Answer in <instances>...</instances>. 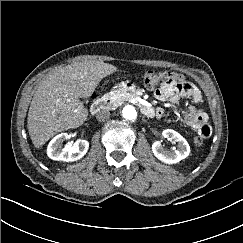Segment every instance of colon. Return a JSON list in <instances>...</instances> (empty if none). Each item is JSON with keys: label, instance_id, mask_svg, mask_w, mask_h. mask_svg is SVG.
<instances>
[{"label": "colon", "instance_id": "obj_1", "mask_svg": "<svg viewBox=\"0 0 243 243\" xmlns=\"http://www.w3.org/2000/svg\"><path fill=\"white\" fill-rule=\"evenodd\" d=\"M166 78V73L156 70H149L144 75V85L148 89H154ZM205 138L197 135L194 138V143L198 146L203 145Z\"/></svg>", "mask_w": 243, "mask_h": 243}]
</instances>
